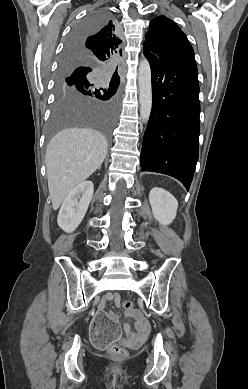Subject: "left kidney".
I'll list each match as a JSON object with an SVG mask.
<instances>
[{"instance_id": "left-kidney-1", "label": "left kidney", "mask_w": 248, "mask_h": 389, "mask_svg": "<svg viewBox=\"0 0 248 389\" xmlns=\"http://www.w3.org/2000/svg\"><path fill=\"white\" fill-rule=\"evenodd\" d=\"M149 201L156 220L162 225H169L176 217L178 202L163 188L154 187L149 193Z\"/></svg>"}]
</instances>
